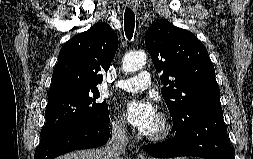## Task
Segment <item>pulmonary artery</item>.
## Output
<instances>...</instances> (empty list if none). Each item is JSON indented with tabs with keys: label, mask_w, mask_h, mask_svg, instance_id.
<instances>
[{
	"label": "pulmonary artery",
	"mask_w": 253,
	"mask_h": 159,
	"mask_svg": "<svg viewBox=\"0 0 253 159\" xmlns=\"http://www.w3.org/2000/svg\"><path fill=\"white\" fill-rule=\"evenodd\" d=\"M151 84L150 74L142 71L135 77L118 80L116 87L128 92H139L149 88Z\"/></svg>",
	"instance_id": "pulmonary-artery-1"
}]
</instances>
